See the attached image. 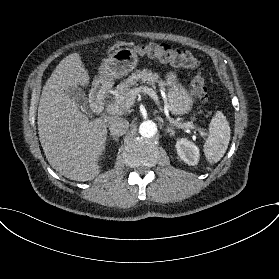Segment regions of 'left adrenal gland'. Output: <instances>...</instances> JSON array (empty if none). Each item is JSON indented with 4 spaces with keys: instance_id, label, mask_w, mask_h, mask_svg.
I'll list each match as a JSON object with an SVG mask.
<instances>
[{
    "instance_id": "a2214340",
    "label": "left adrenal gland",
    "mask_w": 279,
    "mask_h": 279,
    "mask_svg": "<svg viewBox=\"0 0 279 279\" xmlns=\"http://www.w3.org/2000/svg\"><path fill=\"white\" fill-rule=\"evenodd\" d=\"M170 132H172V129L171 128H167V133H170Z\"/></svg>"
}]
</instances>
